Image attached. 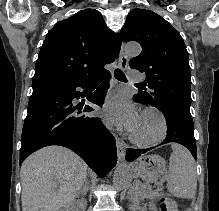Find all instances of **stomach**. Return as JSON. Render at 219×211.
Masks as SVG:
<instances>
[{"label": "stomach", "mask_w": 219, "mask_h": 211, "mask_svg": "<svg viewBox=\"0 0 219 211\" xmlns=\"http://www.w3.org/2000/svg\"><path fill=\"white\" fill-rule=\"evenodd\" d=\"M131 169L144 181L154 183L163 176L166 169V163L159 155H144L131 165Z\"/></svg>", "instance_id": "stomach-1"}]
</instances>
